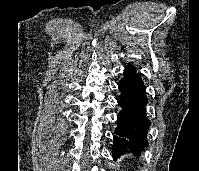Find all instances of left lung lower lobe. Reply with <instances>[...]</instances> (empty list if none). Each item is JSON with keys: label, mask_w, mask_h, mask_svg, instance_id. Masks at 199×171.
I'll list each match as a JSON object with an SVG mask.
<instances>
[{"label": "left lung lower lobe", "mask_w": 199, "mask_h": 171, "mask_svg": "<svg viewBox=\"0 0 199 171\" xmlns=\"http://www.w3.org/2000/svg\"><path fill=\"white\" fill-rule=\"evenodd\" d=\"M118 103L122 110L117 117L114 133L113 157L126 152L140 153L148 146L147 134L150 120L146 117L147 97L140 73L129 64L118 84Z\"/></svg>", "instance_id": "left-lung-lower-lobe-1"}]
</instances>
